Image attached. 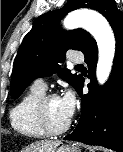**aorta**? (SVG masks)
<instances>
[{
    "mask_svg": "<svg viewBox=\"0 0 123 152\" xmlns=\"http://www.w3.org/2000/svg\"><path fill=\"white\" fill-rule=\"evenodd\" d=\"M64 27L68 30L82 27L94 37L99 52L96 77L99 84H104L110 76L116 48L114 33L108 21L98 12L79 10L66 16Z\"/></svg>",
    "mask_w": 123,
    "mask_h": 152,
    "instance_id": "1",
    "label": "aorta"
}]
</instances>
